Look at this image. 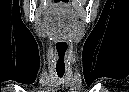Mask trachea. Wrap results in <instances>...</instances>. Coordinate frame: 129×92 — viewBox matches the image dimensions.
Here are the masks:
<instances>
[{"label": "trachea", "mask_w": 129, "mask_h": 92, "mask_svg": "<svg viewBox=\"0 0 129 92\" xmlns=\"http://www.w3.org/2000/svg\"><path fill=\"white\" fill-rule=\"evenodd\" d=\"M65 71H57V75L59 78H62L64 76Z\"/></svg>", "instance_id": "1"}]
</instances>
